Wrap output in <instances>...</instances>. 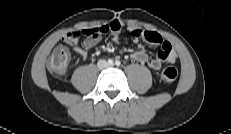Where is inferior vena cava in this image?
<instances>
[{"label":"inferior vena cava","mask_w":231,"mask_h":134,"mask_svg":"<svg viewBox=\"0 0 231 134\" xmlns=\"http://www.w3.org/2000/svg\"><path fill=\"white\" fill-rule=\"evenodd\" d=\"M107 66H108V64H107V62L104 61V60H101V61L98 62V67H99L100 69L106 68Z\"/></svg>","instance_id":"1"}]
</instances>
